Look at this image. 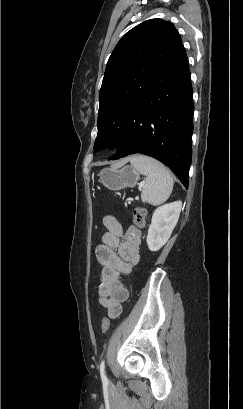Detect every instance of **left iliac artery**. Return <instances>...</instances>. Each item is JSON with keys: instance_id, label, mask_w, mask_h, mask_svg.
Returning <instances> with one entry per match:
<instances>
[{"instance_id": "1", "label": "left iliac artery", "mask_w": 243, "mask_h": 409, "mask_svg": "<svg viewBox=\"0 0 243 409\" xmlns=\"http://www.w3.org/2000/svg\"><path fill=\"white\" fill-rule=\"evenodd\" d=\"M105 361L103 360L102 362H101V364H100V374H101V378H102V381L103 382H106L107 381V377H106V374H105Z\"/></svg>"}]
</instances>
